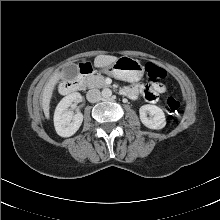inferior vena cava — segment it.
Listing matches in <instances>:
<instances>
[{
  "instance_id": "1",
  "label": "inferior vena cava",
  "mask_w": 220,
  "mask_h": 220,
  "mask_svg": "<svg viewBox=\"0 0 220 220\" xmlns=\"http://www.w3.org/2000/svg\"><path fill=\"white\" fill-rule=\"evenodd\" d=\"M86 98L91 103L98 102L101 99V92L98 89H91L87 92Z\"/></svg>"
}]
</instances>
